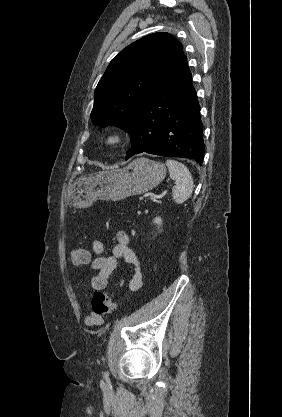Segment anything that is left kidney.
I'll list each match as a JSON object with an SVG mask.
<instances>
[{
    "label": "left kidney",
    "mask_w": 282,
    "mask_h": 417,
    "mask_svg": "<svg viewBox=\"0 0 282 417\" xmlns=\"http://www.w3.org/2000/svg\"><path fill=\"white\" fill-rule=\"evenodd\" d=\"M153 223H156V225H158V227H161V225H162L161 217H156V219H154Z\"/></svg>",
    "instance_id": "left-kidney-1"
}]
</instances>
